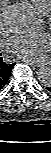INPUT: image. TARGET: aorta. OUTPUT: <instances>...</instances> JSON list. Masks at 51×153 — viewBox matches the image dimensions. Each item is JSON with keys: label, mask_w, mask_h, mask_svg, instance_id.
I'll list each match as a JSON object with an SVG mask.
<instances>
[{"label": "aorta", "mask_w": 51, "mask_h": 153, "mask_svg": "<svg viewBox=\"0 0 51 153\" xmlns=\"http://www.w3.org/2000/svg\"><path fill=\"white\" fill-rule=\"evenodd\" d=\"M7 27L17 34H31L40 27V17L36 9L28 2L14 4L5 14ZM38 81L49 86L51 84V67L41 66L37 71Z\"/></svg>", "instance_id": "aorta-1"}]
</instances>
